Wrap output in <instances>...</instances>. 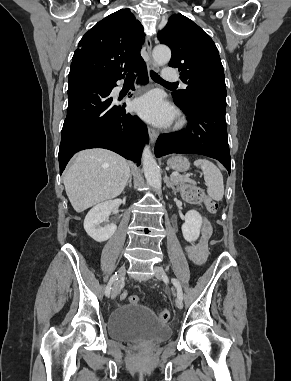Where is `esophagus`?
Masks as SVG:
<instances>
[{
    "label": "esophagus",
    "instance_id": "34e87169",
    "mask_svg": "<svg viewBox=\"0 0 291 381\" xmlns=\"http://www.w3.org/2000/svg\"><path fill=\"white\" fill-rule=\"evenodd\" d=\"M145 44H146V49H147V52H148V55H149V60L147 62V68H148V70L158 71V66L152 60V57H151L152 42H151V39H150L149 36L146 37ZM148 134H149V137H150V140H151L152 143H154L156 141V139L158 138V135H159L158 131L155 130L154 128H152V127H148Z\"/></svg>",
    "mask_w": 291,
    "mask_h": 381
}]
</instances>
